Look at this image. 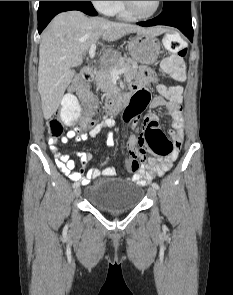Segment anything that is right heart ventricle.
<instances>
[{"instance_id": "right-heart-ventricle-1", "label": "right heart ventricle", "mask_w": 233, "mask_h": 295, "mask_svg": "<svg viewBox=\"0 0 233 295\" xmlns=\"http://www.w3.org/2000/svg\"><path fill=\"white\" fill-rule=\"evenodd\" d=\"M110 15H114L120 19L129 20L133 17L126 11L123 1H115L112 12Z\"/></svg>"}]
</instances>
